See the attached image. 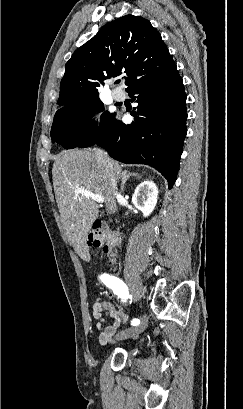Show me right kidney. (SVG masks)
<instances>
[{
    "instance_id": "ca27d5eb",
    "label": "right kidney",
    "mask_w": 243,
    "mask_h": 409,
    "mask_svg": "<svg viewBox=\"0 0 243 409\" xmlns=\"http://www.w3.org/2000/svg\"><path fill=\"white\" fill-rule=\"evenodd\" d=\"M158 189L154 182L143 181L132 196V203L141 210L144 217L149 216L157 204Z\"/></svg>"
}]
</instances>
